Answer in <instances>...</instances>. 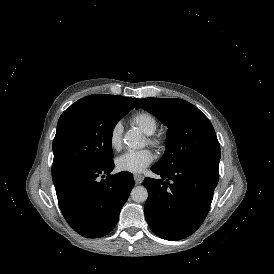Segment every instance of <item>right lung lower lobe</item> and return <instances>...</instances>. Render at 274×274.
Returning a JSON list of instances; mask_svg holds the SVG:
<instances>
[{
	"label": "right lung lower lobe",
	"mask_w": 274,
	"mask_h": 274,
	"mask_svg": "<svg viewBox=\"0 0 274 274\" xmlns=\"http://www.w3.org/2000/svg\"><path fill=\"white\" fill-rule=\"evenodd\" d=\"M113 168L114 162L103 167L78 165L52 172L63 216L85 237L98 238L113 230L134 186L132 173L111 175ZM103 174L106 179L100 181Z\"/></svg>",
	"instance_id": "obj_1"
}]
</instances>
